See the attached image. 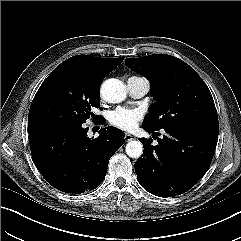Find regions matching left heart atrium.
Returning <instances> with one entry per match:
<instances>
[{"label": "left heart atrium", "mask_w": 241, "mask_h": 241, "mask_svg": "<svg viewBox=\"0 0 241 241\" xmlns=\"http://www.w3.org/2000/svg\"><path fill=\"white\" fill-rule=\"evenodd\" d=\"M143 118V112L140 109H130L119 107L111 111L108 120L111 125L125 131H132Z\"/></svg>", "instance_id": "39dd6f15"}]
</instances>
